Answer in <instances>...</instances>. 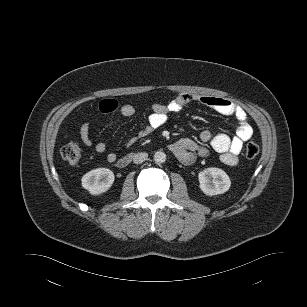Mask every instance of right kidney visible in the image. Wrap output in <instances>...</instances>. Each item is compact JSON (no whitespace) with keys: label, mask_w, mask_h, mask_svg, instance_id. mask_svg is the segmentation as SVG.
<instances>
[{"label":"right kidney","mask_w":307,"mask_h":307,"mask_svg":"<svg viewBox=\"0 0 307 307\" xmlns=\"http://www.w3.org/2000/svg\"><path fill=\"white\" fill-rule=\"evenodd\" d=\"M114 173L107 168H97L86 173L81 181L84 189L92 195L106 192L114 182Z\"/></svg>","instance_id":"1"}]
</instances>
